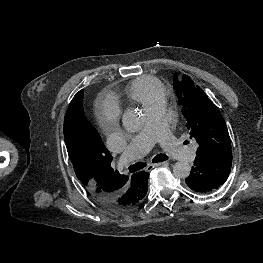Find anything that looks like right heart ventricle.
Listing matches in <instances>:
<instances>
[{
    "mask_svg": "<svg viewBox=\"0 0 263 263\" xmlns=\"http://www.w3.org/2000/svg\"><path fill=\"white\" fill-rule=\"evenodd\" d=\"M125 93L130 101L140 104L146 110L156 102L164 100L166 89L155 77L143 76L131 81Z\"/></svg>",
    "mask_w": 263,
    "mask_h": 263,
    "instance_id": "1",
    "label": "right heart ventricle"
}]
</instances>
